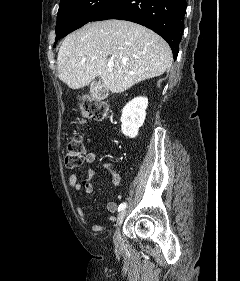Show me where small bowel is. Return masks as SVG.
Returning a JSON list of instances; mask_svg holds the SVG:
<instances>
[{
	"label": "small bowel",
	"mask_w": 240,
	"mask_h": 281,
	"mask_svg": "<svg viewBox=\"0 0 240 281\" xmlns=\"http://www.w3.org/2000/svg\"><path fill=\"white\" fill-rule=\"evenodd\" d=\"M96 160V154L94 152H88L86 154L85 161L87 163H93ZM104 167L109 171L112 177V184L114 187H119L121 182L120 174L117 172V170L114 167V164L111 161H107L104 164ZM97 177V171L95 169H88L86 173V177L84 179H79V177L76 174L70 175L68 178V184L70 187L75 189V191L80 192L83 191L85 193H91L94 188V180ZM106 208L109 212L114 213L118 206L114 202H108L106 204ZM77 213L82 221L89 224L91 230L93 232H100L105 230L107 227L104 225H100L97 223L92 222L85 214L83 208L78 205L77 206ZM110 220H114V218H110Z\"/></svg>",
	"instance_id": "small-bowel-1"
}]
</instances>
